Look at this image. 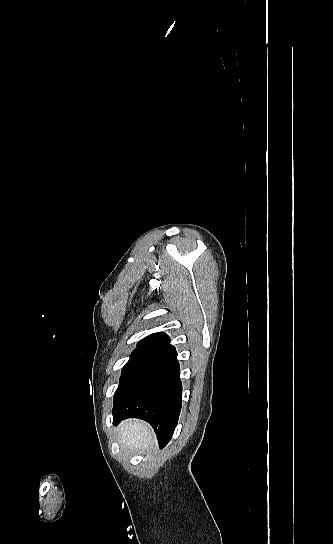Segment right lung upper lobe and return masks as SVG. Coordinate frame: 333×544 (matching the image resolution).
I'll use <instances>...</instances> for the list:
<instances>
[{"instance_id":"obj_1","label":"right lung upper lobe","mask_w":333,"mask_h":544,"mask_svg":"<svg viewBox=\"0 0 333 544\" xmlns=\"http://www.w3.org/2000/svg\"><path fill=\"white\" fill-rule=\"evenodd\" d=\"M168 342H170V338L164 332L154 333L142 339L137 344V348L153 349Z\"/></svg>"}]
</instances>
